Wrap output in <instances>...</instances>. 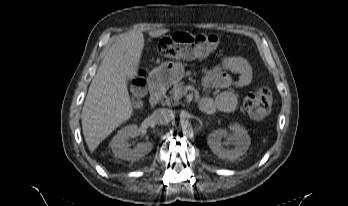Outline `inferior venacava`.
<instances>
[{"label": "inferior vena cava", "instance_id": "inferior-vena-cava-1", "mask_svg": "<svg viewBox=\"0 0 348 206\" xmlns=\"http://www.w3.org/2000/svg\"><path fill=\"white\" fill-rule=\"evenodd\" d=\"M152 117L156 123L166 124L172 121L175 115L171 109L159 108L153 112Z\"/></svg>", "mask_w": 348, "mask_h": 206}]
</instances>
